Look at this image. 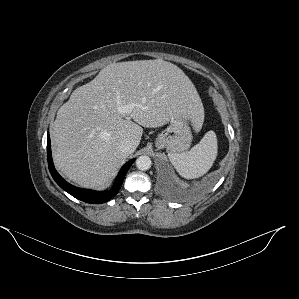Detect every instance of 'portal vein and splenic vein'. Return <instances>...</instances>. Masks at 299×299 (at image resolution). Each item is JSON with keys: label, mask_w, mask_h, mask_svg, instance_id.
Masks as SVG:
<instances>
[{"label": "portal vein and splenic vein", "mask_w": 299, "mask_h": 299, "mask_svg": "<svg viewBox=\"0 0 299 299\" xmlns=\"http://www.w3.org/2000/svg\"><path fill=\"white\" fill-rule=\"evenodd\" d=\"M134 108V104H128V105H120L118 103V110L120 113L127 114Z\"/></svg>", "instance_id": "obj_1"}]
</instances>
